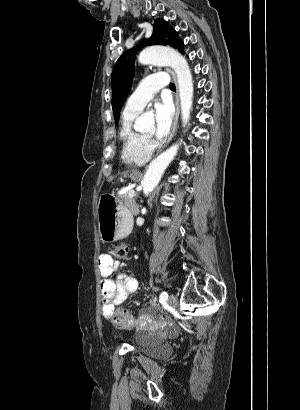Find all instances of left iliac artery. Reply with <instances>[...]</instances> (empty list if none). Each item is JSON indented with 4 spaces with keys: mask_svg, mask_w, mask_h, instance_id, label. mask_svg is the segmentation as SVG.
Instances as JSON below:
<instances>
[{
    "mask_svg": "<svg viewBox=\"0 0 300 410\" xmlns=\"http://www.w3.org/2000/svg\"><path fill=\"white\" fill-rule=\"evenodd\" d=\"M167 298H168L167 292L163 291V292L160 294L159 301H160V302L165 301V300H167Z\"/></svg>",
    "mask_w": 300,
    "mask_h": 410,
    "instance_id": "1",
    "label": "left iliac artery"
}]
</instances>
